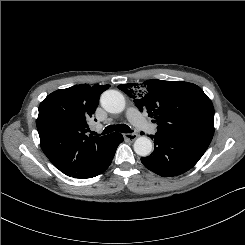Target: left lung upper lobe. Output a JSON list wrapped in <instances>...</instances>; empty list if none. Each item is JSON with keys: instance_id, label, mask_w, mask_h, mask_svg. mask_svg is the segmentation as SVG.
I'll use <instances>...</instances> for the list:
<instances>
[{"instance_id": "obj_1", "label": "left lung upper lobe", "mask_w": 245, "mask_h": 245, "mask_svg": "<svg viewBox=\"0 0 245 245\" xmlns=\"http://www.w3.org/2000/svg\"><path fill=\"white\" fill-rule=\"evenodd\" d=\"M140 111L155 118L158 132L187 135L210 143L214 134L211 100L195 84L151 79L143 84H120ZM138 91V93H136Z\"/></svg>"}]
</instances>
